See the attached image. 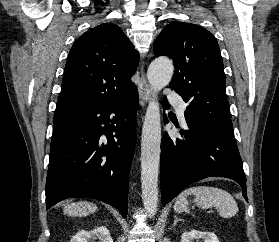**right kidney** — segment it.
Instances as JSON below:
<instances>
[{
    "label": "right kidney",
    "mask_w": 279,
    "mask_h": 242,
    "mask_svg": "<svg viewBox=\"0 0 279 242\" xmlns=\"http://www.w3.org/2000/svg\"><path fill=\"white\" fill-rule=\"evenodd\" d=\"M98 238L99 242H113L110 233L105 226H98L91 231H79L70 242H88L90 239Z\"/></svg>",
    "instance_id": "right-kidney-1"
}]
</instances>
